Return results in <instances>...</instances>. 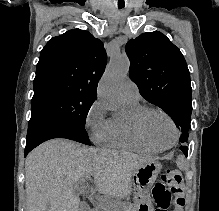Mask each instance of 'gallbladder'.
Returning <instances> with one entry per match:
<instances>
[{"label":"gallbladder","mask_w":219,"mask_h":211,"mask_svg":"<svg viewBox=\"0 0 219 211\" xmlns=\"http://www.w3.org/2000/svg\"><path fill=\"white\" fill-rule=\"evenodd\" d=\"M78 211H88V207H83V205H82V207H80V209H78Z\"/></svg>","instance_id":"1"}]
</instances>
